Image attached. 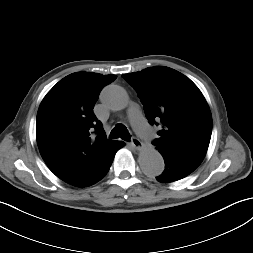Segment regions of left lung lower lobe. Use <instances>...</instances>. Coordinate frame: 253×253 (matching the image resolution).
Here are the masks:
<instances>
[{"mask_svg": "<svg viewBox=\"0 0 253 253\" xmlns=\"http://www.w3.org/2000/svg\"><path fill=\"white\" fill-rule=\"evenodd\" d=\"M165 162L164 172L156 179L159 182L168 183L180 180L192 173L200 164L183 159L163 157Z\"/></svg>", "mask_w": 253, "mask_h": 253, "instance_id": "0a47b994", "label": "left lung lower lobe"}]
</instances>
